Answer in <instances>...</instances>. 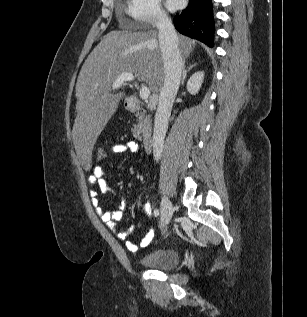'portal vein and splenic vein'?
<instances>
[{"mask_svg": "<svg viewBox=\"0 0 307 317\" xmlns=\"http://www.w3.org/2000/svg\"><path fill=\"white\" fill-rule=\"evenodd\" d=\"M135 76L132 73L124 72L117 77V79L112 84V89H117L121 87L125 82L134 81ZM150 96V90L147 86H142L140 89V98L142 100L148 99Z\"/></svg>", "mask_w": 307, "mask_h": 317, "instance_id": "portal-vein-and-splenic-vein-1", "label": "portal vein and splenic vein"}]
</instances>
